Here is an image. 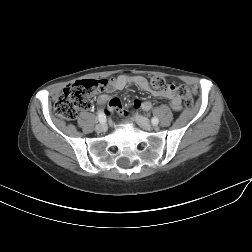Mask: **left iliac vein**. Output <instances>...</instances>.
I'll list each match as a JSON object with an SVG mask.
<instances>
[{
    "label": "left iliac vein",
    "mask_w": 252,
    "mask_h": 252,
    "mask_svg": "<svg viewBox=\"0 0 252 252\" xmlns=\"http://www.w3.org/2000/svg\"><path fill=\"white\" fill-rule=\"evenodd\" d=\"M134 119L137 122V124L143 129L150 130L152 128V125L150 124L149 120L146 117L136 114L134 116Z\"/></svg>",
    "instance_id": "left-iliac-vein-1"
}]
</instances>
